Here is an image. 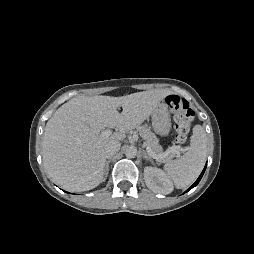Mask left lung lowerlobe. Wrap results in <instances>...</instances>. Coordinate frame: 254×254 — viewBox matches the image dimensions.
I'll return each mask as SVG.
<instances>
[{"instance_id": "1", "label": "left lung lower lobe", "mask_w": 254, "mask_h": 254, "mask_svg": "<svg viewBox=\"0 0 254 254\" xmlns=\"http://www.w3.org/2000/svg\"><path fill=\"white\" fill-rule=\"evenodd\" d=\"M205 169H206V166H205V168L203 169V171H202V173L200 174V176L198 177V179L196 180V182H195L186 192H188L190 189H192L193 187H195V186L199 183V181L201 180V178H202V176H203V174H204V172H205Z\"/></svg>"}]
</instances>
